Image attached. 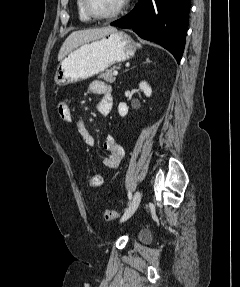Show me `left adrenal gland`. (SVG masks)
<instances>
[{
    "mask_svg": "<svg viewBox=\"0 0 240 287\" xmlns=\"http://www.w3.org/2000/svg\"><path fill=\"white\" fill-rule=\"evenodd\" d=\"M145 63H150V59L146 58V62Z\"/></svg>",
    "mask_w": 240,
    "mask_h": 287,
    "instance_id": "left-adrenal-gland-1",
    "label": "left adrenal gland"
}]
</instances>
